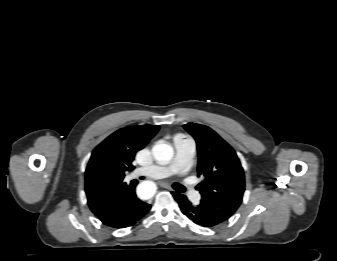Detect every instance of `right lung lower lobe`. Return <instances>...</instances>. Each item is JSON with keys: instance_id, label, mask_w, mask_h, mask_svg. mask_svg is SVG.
<instances>
[{"instance_id": "1", "label": "right lung lower lobe", "mask_w": 337, "mask_h": 261, "mask_svg": "<svg viewBox=\"0 0 337 261\" xmlns=\"http://www.w3.org/2000/svg\"><path fill=\"white\" fill-rule=\"evenodd\" d=\"M136 184L137 182L130 184L110 208L98 217L104 225L116 229L125 228L134 225L150 210L151 205L136 197Z\"/></svg>"}]
</instances>
